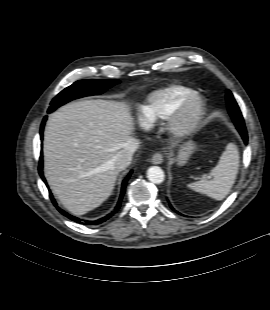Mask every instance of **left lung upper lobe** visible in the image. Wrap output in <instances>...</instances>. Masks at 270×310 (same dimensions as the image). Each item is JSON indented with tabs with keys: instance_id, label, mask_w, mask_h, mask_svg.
<instances>
[{
	"instance_id": "obj_1",
	"label": "left lung upper lobe",
	"mask_w": 270,
	"mask_h": 310,
	"mask_svg": "<svg viewBox=\"0 0 270 310\" xmlns=\"http://www.w3.org/2000/svg\"><path fill=\"white\" fill-rule=\"evenodd\" d=\"M227 105L229 114L236 125L238 131L242 132L245 131V124L241 114V111L232 95V93L228 90L226 93Z\"/></svg>"
}]
</instances>
